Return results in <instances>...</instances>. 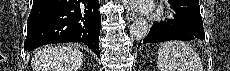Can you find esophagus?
I'll return each instance as SVG.
<instances>
[{
    "instance_id": "1",
    "label": "esophagus",
    "mask_w": 230,
    "mask_h": 71,
    "mask_svg": "<svg viewBox=\"0 0 230 71\" xmlns=\"http://www.w3.org/2000/svg\"><path fill=\"white\" fill-rule=\"evenodd\" d=\"M126 18L128 21H133L136 18V14L128 6L126 7Z\"/></svg>"
}]
</instances>
